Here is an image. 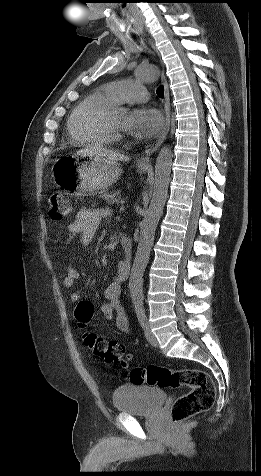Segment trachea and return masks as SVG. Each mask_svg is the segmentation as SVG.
<instances>
[{"label": "trachea", "instance_id": "obj_1", "mask_svg": "<svg viewBox=\"0 0 261 476\" xmlns=\"http://www.w3.org/2000/svg\"><path fill=\"white\" fill-rule=\"evenodd\" d=\"M157 95L160 97V98H163L164 97V87L163 86H160L157 88Z\"/></svg>", "mask_w": 261, "mask_h": 476}]
</instances>
